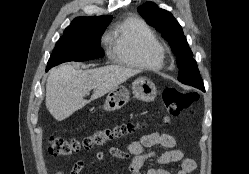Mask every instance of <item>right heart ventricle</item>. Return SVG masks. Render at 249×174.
Wrapping results in <instances>:
<instances>
[{
    "label": "right heart ventricle",
    "instance_id": "right-heart-ventricle-1",
    "mask_svg": "<svg viewBox=\"0 0 249 174\" xmlns=\"http://www.w3.org/2000/svg\"><path fill=\"white\" fill-rule=\"evenodd\" d=\"M110 40L111 57L120 65L144 70H159L163 65L157 36L138 17L129 16L116 23Z\"/></svg>",
    "mask_w": 249,
    "mask_h": 174
}]
</instances>
